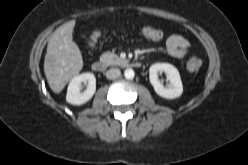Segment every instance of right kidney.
Listing matches in <instances>:
<instances>
[{
  "label": "right kidney",
  "mask_w": 248,
  "mask_h": 165,
  "mask_svg": "<svg viewBox=\"0 0 248 165\" xmlns=\"http://www.w3.org/2000/svg\"><path fill=\"white\" fill-rule=\"evenodd\" d=\"M88 84L86 90L81 92V83ZM96 91V78L93 73H82L75 76L69 83L66 101L73 105H82L89 101Z\"/></svg>",
  "instance_id": "obj_1"
}]
</instances>
